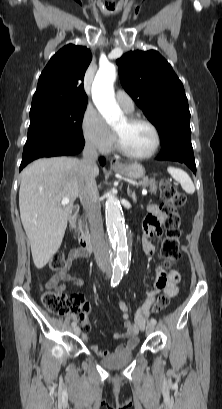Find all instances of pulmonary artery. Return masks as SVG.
Wrapping results in <instances>:
<instances>
[{"mask_svg": "<svg viewBox=\"0 0 222 409\" xmlns=\"http://www.w3.org/2000/svg\"><path fill=\"white\" fill-rule=\"evenodd\" d=\"M115 98L119 106L126 112L130 113L134 110V102L132 98L123 90L118 89Z\"/></svg>", "mask_w": 222, "mask_h": 409, "instance_id": "pulmonary-artery-1", "label": "pulmonary artery"}]
</instances>
